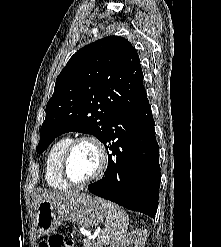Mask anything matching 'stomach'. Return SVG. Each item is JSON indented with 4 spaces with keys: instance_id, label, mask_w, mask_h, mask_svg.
Instances as JSON below:
<instances>
[{
    "instance_id": "stomach-1",
    "label": "stomach",
    "mask_w": 221,
    "mask_h": 247,
    "mask_svg": "<svg viewBox=\"0 0 221 247\" xmlns=\"http://www.w3.org/2000/svg\"><path fill=\"white\" fill-rule=\"evenodd\" d=\"M105 203L86 193H77L59 202L42 201L35 213L37 230L40 234H49L67 220L85 227L96 226L105 217Z\"/></svg>"
}]
</instances>
